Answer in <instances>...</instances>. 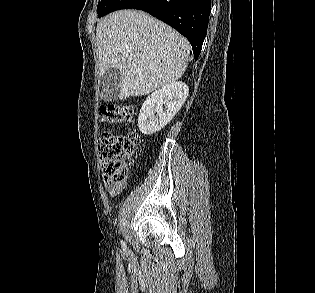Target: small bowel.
Wrapping results in <instances>:
<instances>
[{
    "label": "small bowel",
    "mask_w": 315,
    "mask_h": 293,
    "mask_svg": "<svg viewBox=\"0 0 315 293\" xmlns=\"http://www.w3.org/2000/svg\"><path fill=\"white\" fill-rule=\"evenodd\" d=\"M124 183L112 184L105 183V189L111 197H116L120 195L123 191Z\"/></svg>",
    "instance_id": "c3829d8e"
}]
</instances>
